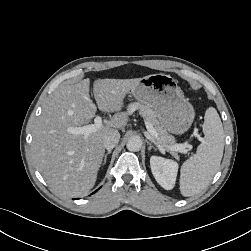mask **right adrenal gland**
Here are the masks:
<instances>
[{"label": "right adrenal gland", "instance_id": "1", "mask_svg": "<svg viewBox=\"0 0 251 251\" xmlns=\"http://www.w3.org/2000/svg\"><path fill=\"white\" fill-rule=\"evenodd\" d=\"M111 153V150H108L107 153L104 155V159H103V165H105L106 161H107V157L108 155Z\"/></svg>", "mask_w": 251, "mask_h": 251}]
</instances>
